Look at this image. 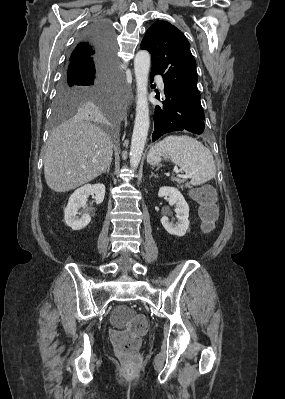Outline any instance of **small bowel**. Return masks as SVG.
Wrapping results in <instances>:
<instances>
[{
  "mask_svg": "<svg viewBox=\"0 0 285 399\" xmlns=\"http://www.w3.org/2000/svg\"><path fill=\"white\" fill-rule=\"evenodd\" d=\"M210 191H212L213 192V190H212V188L211 187H207Z\"/></svg>",
  "mask_w": 285,
  "mask_h": 399,
  "instance_id": "obj_1",
  "label": "small bowel"
}]
</instances>
